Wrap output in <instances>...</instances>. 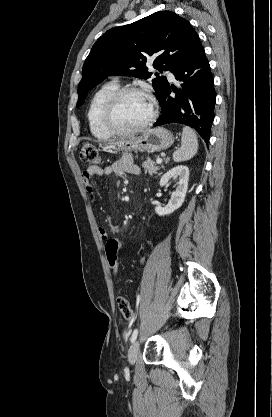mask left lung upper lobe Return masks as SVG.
Listing matches in <instances>:
<instances>
[{
	"mask_svg": "<svg viewBox=\"0 0 272 417\" xmlns=\"http://www.w3.org/2000/svg\"><path fill=\"white\" fill-rule=\"evenodd\" d=\"M191 24L171 11H159L132 24L104 33L93 45L85 60L78 88L77 107L87 93L111 75L150 78L147 60L159 72L172 71L183 59L201 47ZM152 80L157 99L165 91L166 77L155 74Z\"/></svg>",
	"mask_w": 272,
	"mask_h": 417,
	"instance_id": "5c2ea615",
	"label": "left lung upper lobe"
}]
</instances>
